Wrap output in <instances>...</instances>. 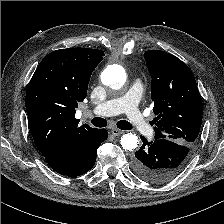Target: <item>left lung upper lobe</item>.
I'll list each match as a JSON object with an SVG mask.
<instances>
[{
    "mask_svg": "<svg viewBox=\"0 0 224 224\" xmlns=\"http://www.w3.org/2000/svg\"><path fill=\"white\" fill-rule=\"evenodd\" d=\"M152 77L155 140L192 147L199 134L203 106L192 71L176 56L160 50L144 53ZM182 168L174 172L177 175Z\"/></svg>",
    "mask_w": 224,
    "mask_h": 224,
    "instance_id": "1",
    "label": "left lung upper lobe"
}]
</instances>
